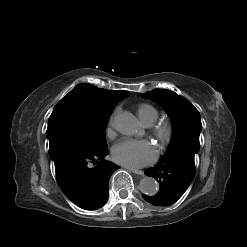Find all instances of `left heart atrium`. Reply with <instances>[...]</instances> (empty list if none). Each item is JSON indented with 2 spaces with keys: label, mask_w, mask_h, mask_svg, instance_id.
Instances as JSON below:
<instances>
[{
  "label": "left heart atrium",
  "mask_w": 247,
  "mask_h": 247,
  "mask_svg": "<svg viewBox=\"0 0 247 247\" xmlns=\"http://www.w3.org/2000/svg\"><path fill=\"white\" fill-rule=\"evenodd\" d=\"M156 155V148L147 140L123 139L112 148L114 161L130 168L148 165Z\"/></svg>",
  "instance_id": "obj_1"
}]
</instances>
